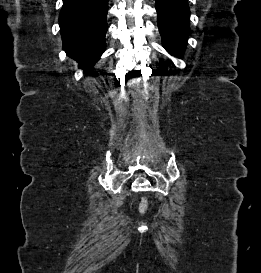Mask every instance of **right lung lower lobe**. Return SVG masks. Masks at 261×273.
<instances>
[{
  "label": "right lung lower lobe",
  "instance_id": "right-lung-lower-lobe-1",
  "mask_svg": "<svg viewBox=\"0 0 261 273\" xmlns=\"http://www.w3.org/2000/svg\"><path fill=\"white\" fill-rule=\"evenodd\" d=\"M107 12L108 0H63L59 15L63 48L85 72L105 50Z\"/></svg>",
  "mask_w": 261,
  "mask_h": 273
}]
</instances>
